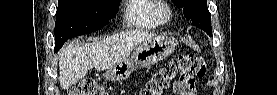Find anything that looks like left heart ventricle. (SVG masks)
Listing matches in <instances>:
<instances>
[{
    "instance_id": "obj_1",
    "label": "left heart ventricle",
    "mask_w": 277,
    "mask_h": 95,
    "mask_svg": "<svg viewBox=\"0 0 277 95\" xmlns=\"http://www.w3.org/2000/svg\"><path fill=\"white\" fill-rule=\"evenodd\" d=\"M163 12L162 11H159V14L161 15Z\"/></svg>"
}]
</instances>
